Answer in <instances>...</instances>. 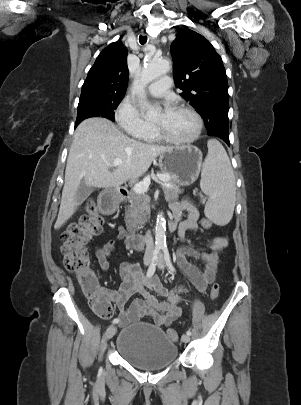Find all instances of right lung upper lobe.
Here are the masks:
<instances>
[{
	"label": "right lung upper lobe",
	"mask_w": 301,
	"mask_h": 405,
	"mask_svg": "<svg viewBox=\"0 0 301 405\" xmlns=\"http://www.w3.org/2000/svg\"><path fill=\"white\" fill-rule=\"evenodd\" d=\"M127 48L117 41L97 57L82 86L81 96H124L128 82Z\"/></svg>",
	"instance_id": "1"
}]
</instances>
